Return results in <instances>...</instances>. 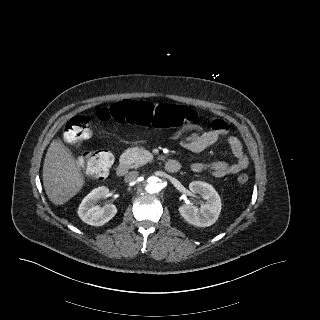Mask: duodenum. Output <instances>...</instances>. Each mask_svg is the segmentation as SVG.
<instances>
[{
    "label": "duodenum",
    "mask_w": 320,
    "mask_h": 320,
    "mask_svg": "<svg viewBox=\"0 0 320 320\" xmlns=\"http://www.w3.org/2000/svg\"><path fill=\"white\" fill-rule=\"evenodd\" d=\"M164 168L168 173H177L180 170L181 165L177 160L169 159L166 161ZM128 171L129 167L127 163L123 161L120 162L116 168L117 175L120 177L125 176Z\"/></svg>",
    "instance_id": "duodenum-1"
}]
</instances>
